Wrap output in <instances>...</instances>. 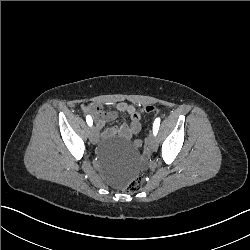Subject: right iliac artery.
Returning <instances> with one entry per match:
<instances>
[{"mask_svg":"<svg viewBox=\"0 0 250 250\" xmlns=\"http://www.w3.org/2000/svg\"><path fill=\"white\" fill-rule=\"evenodd\" d=\"M86 122H87V124H88L89 126H92L93 120H92V118H91L90 115H87V116H86Z\"/></svg>","mask_w":250,"mask_h":250,"instance_id":"right-iliac-artery-1","label":"right iliac artery"}]
</instances>
